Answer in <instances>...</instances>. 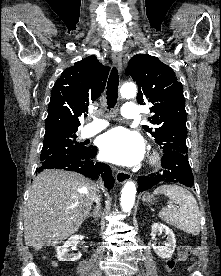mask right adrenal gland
I'll list each match as a JSON object with an SVG mask.
<instances>
[{
    "label": "right adrenal gland",
    "mask_w": 221,
    "mask_h": 276,
    "mask_svg": "<svg viewBox=\"0 0 221 276\" xmlns=\"http://www.w3.org/2000/svg\"><path fill=\"white\" fill-rule=\"evenodd\" d=\"M92 217L94 220H98L100 218V210L96 208L92 213H90L87 218Z\"/></svg>",
    "instance_id": "right-adrenal-gland-1"
}]
</instances>
